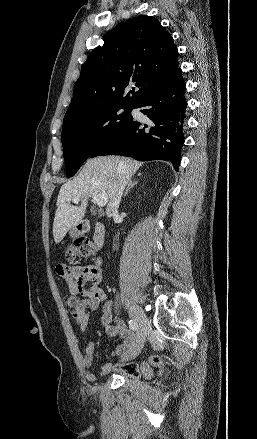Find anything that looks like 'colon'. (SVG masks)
Returning a JSON list of instances; mask_svg holds the SVG:
<instances>
[{
	"mask_svg": "<svg viewBox=\"0 0 257 439\" xmlns=\"http://www.w3.org/2000/svg\"><path fill=\"white\" fill-rule=\"evenodd\" d=\"M93 245L85 239L78 240L75 245L66 251V257L69 259L75 257H89L93 254ZM64 303L67 309L74 315L82 306L83 295L80 292H68L64 295ZM161 358L158 356H151L148 363L139 367L136 363H127L123 368V372L130 377L139 378L141 375H149L151 373L149 365H159Z\"/></svg>",
	"mask_w": 257,
	"mask_h": 439,
	"instance_id": "colon-1",
	"label": "colon"
}]
</instances>
